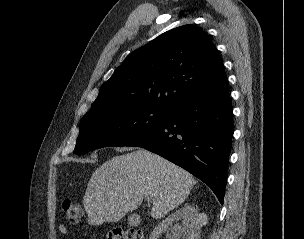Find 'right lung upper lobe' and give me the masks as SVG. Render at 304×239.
Returning <instances> with one entry per match:
<instances>
[{"mask_svg":"<svg viewBox=\"0 0 304 239\" xmlns=\"http://www.w3.org/2000/svg\"><path fill=\"white\" fill-rule=\"evenodd\" d=\"M223 77L222 59L207 34L195 25L180 26L131 53L102 84L84 117L137 106L169 110Z\"/></svg>","mask_w":304,"mask_h":239,"instance_id":"obj_1","label":"right lung upper lobe"}]
</instances>
